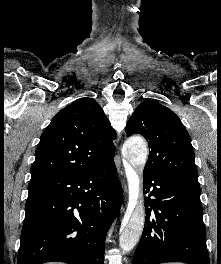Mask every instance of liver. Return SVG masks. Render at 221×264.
I'll list each match as a JSON object with an SVG mask.
<instances>
[{"label":"liver","instance_id":"obj_1","mask_svg":"<svg viewBox=\"0 0 221 264\" xmlns=\"http://www.w3.org/2000/svg\"><path fill=\"white\" fill-rule=\"evenodd\" d=\"M47 264H63V263H58V262H57V263H56V262L54 263V262H53V263H47Z\"/></svg>","mask_w":221,"mask_h":264}]
</instances>
